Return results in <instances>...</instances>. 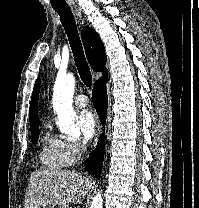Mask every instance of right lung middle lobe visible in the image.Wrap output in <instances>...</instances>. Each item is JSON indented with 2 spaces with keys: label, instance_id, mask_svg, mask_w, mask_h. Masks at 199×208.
<instances>
[{
  "label": "right lung middle lobe",
  "instance_id": "obj_1",
  "mask_svg": "<svg viewBox=\"0 0 199 208\" xmlns=\"http://www.w3.org/2000/svg\"><path fill=\"white\" fill-rule=\"evenodd\" d=\"M38 136H39V130L38 128L31 130V140L34 144L37 143L38 140Z\"/></svg>",
  "mask_w": 199,
  "mask_h": 208
}]
</instances>
